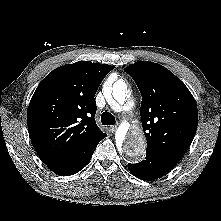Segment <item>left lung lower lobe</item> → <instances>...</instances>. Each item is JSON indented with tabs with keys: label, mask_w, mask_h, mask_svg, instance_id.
<instances>
[{
	"label": "left lung lower lobe",
	"mask_w": 221,
	"mask_h": 221,
	"mask_svg": "<svg viewBox=\"0 0 221 221\" xmlns=\"http://www.w3.org/2000/svg\"><path fill=\"white\" fill-rule=\"evenodd\" d=\"M177 162L161 155L147 152L145 160L137 164H128L129 171L139 179L153 180L170 172Z\"/></svg>",
	"instance_id": "left-lung-lower-lobe-1"
}]
</instances>
